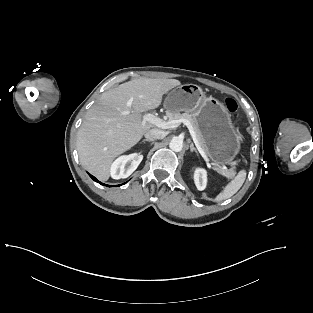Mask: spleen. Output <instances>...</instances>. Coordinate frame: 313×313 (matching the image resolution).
<instances>
[{
    "instance_id": "obj_1",
    "label": "spleen",
    "mask_w": 313,
    "mask_h": 313,
    "mask_svg": "<svg viewBox=\"0 0 313 313\" xmlns=\"http://www.w3.org/2000/svg\"><path fill=\"white\" fill-rule=\"evenodd\" d=\"M245 179H246V171L245 170L239 171L237 176L224 187L223 191L219 193L214 200L216 202H221L223 200H226L232 197L242 187Z\"/></svg>"
}]
</instances>
